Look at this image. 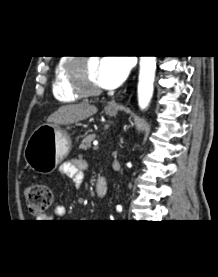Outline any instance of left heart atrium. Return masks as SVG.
Here are the masks:
<instances>
[{
  "mask_svg": "<svg viewBox=\"0 0 218 277\" xmlns=\"http://www.w3.org/2000/svg\"><path fill=\"white\" fill-rule=\"evenodd\" d=\"M130 69V62L126 57H104L98 64L97 80L102 88L112 89L119 86Z\"/></svg>",
  "mask_w": 218,
  "mask_h": 277,
  "instance_id": "1",
  "label": "left heart atrium"
}]
</instances>
